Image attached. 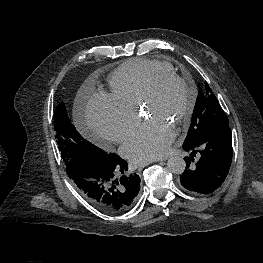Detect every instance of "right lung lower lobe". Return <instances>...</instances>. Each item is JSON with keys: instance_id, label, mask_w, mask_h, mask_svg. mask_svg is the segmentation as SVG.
I'll return each instance as SVG.
<instances>
[{"instance_id": "98d812e1", "label": "right lung lower lobe", "mask_w": 263, "mask_h": 263, "mask_svg": "<svg viewBox=\"0 0 263 263\" xmlns=\"http://www.w3.org/2000/svg\"><path fill=\"white\" fill-rule=\"evenodd\" d=\"M127 170L125 160L116 154H107L103 160L79 165L69 178L91 205L105 212H121L134 204L140 191L137 174L121 175Z\"/></svg>"}]
</instances>
